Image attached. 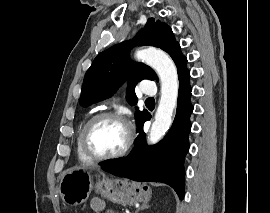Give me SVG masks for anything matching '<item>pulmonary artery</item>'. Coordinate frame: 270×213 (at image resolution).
<instances>
[{
    "label": "pulmonary artery",
    "mask_w": 270,
    "mask_h": 213,
    "mask_svg": "<svg viewBox=\"0 0 270 213\" xmlns=\"http://www.w3.org/2000/svg\"><path fill=\"white\" fill-rule=\"evenodd\" d=\"M157 93V86L152 81H145L142 83V94L153 96Z\"/></svg>",
    "instance_id": "1"
}]
</instances>
